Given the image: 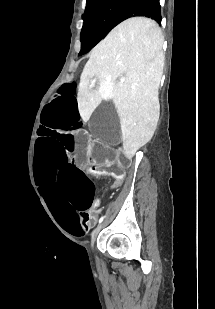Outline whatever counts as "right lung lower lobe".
<instances>
[{"label": "right lung lower lobe", "instance_id": "obj_1", "mask_svg": "<svg viewBox=\"0 0 215 309\" xmlns=\"http://www.w3.org/2000/svg\"><path fill=\"white\" fill-rule=\"evenodd\" d=\"M136 16H145L160 23L162 18L159 0H130L116 21V25L128 18Z\"/></svg>", "mask_w": 215, "mask_h": 309}]
</instances>
